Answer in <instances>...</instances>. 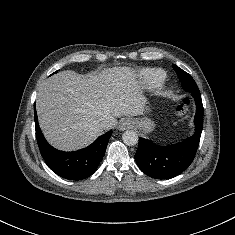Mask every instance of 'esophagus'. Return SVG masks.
I'll use <instances>...</instances> for the list:
<instances>
[{
    "instance_id": "1",
    "label": "esophagus",
    "mask_w": 235,
    "mask_h": 235,
    "mask_svg": "<svg viewBox=\"0 0 235 235\" xmlns=\"http://www.w3.org/2000/svg\"><path fill=\"white\" fill-rule=\"evenodd\" d=\"M131 127H132V123L129 119H122L118 125V129L121 131H124L126 129L131 128Z\"/></svg>"
}]
</instances>
